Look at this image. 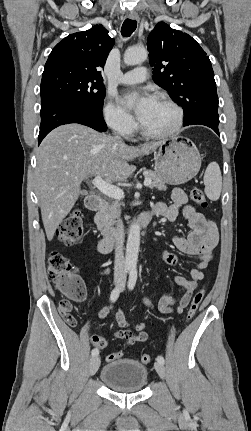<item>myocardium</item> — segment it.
I'll return each mask as SVG.
<instances>
[{
	"label": "myocardium",
	"mask_w": 251,
	"mask_h": 431,
	"mask_svg": "<svg viewBox=\"0 0 251 431\" xmlns=\"http://www.w3.org/2000/svg\"><path fill=\"white\" fill-rule=\"evenodd\" d=\"M156 100L162 101L174 109L175 114H176L174 124L166 131L151 132V131L145 129V127L140 122L139 123V131L143 136H145L147 138H151V139L168 138V137L176 134L180 130V128L182 127V124L184 121V111H183L182 107L176 101H174L172 98H170L167 95H163V94L158 95L156 97Z\"/></svg>",
	"instance_id": "f54148a6"
}]
</instances>
